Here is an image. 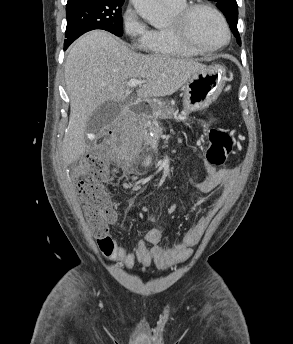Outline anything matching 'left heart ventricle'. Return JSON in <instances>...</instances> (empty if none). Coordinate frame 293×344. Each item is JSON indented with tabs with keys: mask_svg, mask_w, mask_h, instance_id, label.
Returning <instances> with one entry per match:
<instances>
[{
	"mask_svg": "<svg viewBox=\"0 0 293 344\" xmlns=\"http://www.w3.org/2000/svg\"><path fill=\"white\" fill-rule=\"evenodd\" d=\"M192 40L202 47H215L224 42L225 30L219 19L205 9L196 10L188 25Z\"/></svg>",
	"mask_w": 293,
	"mask_h": 344,
	"instance_id": "b2bd125f",
	"label": "left heart ventricle"
}]
</instances>
